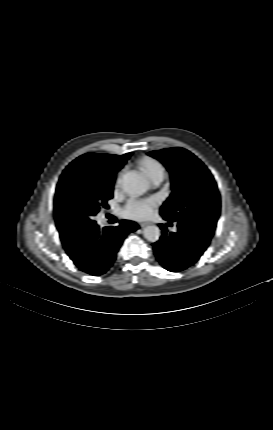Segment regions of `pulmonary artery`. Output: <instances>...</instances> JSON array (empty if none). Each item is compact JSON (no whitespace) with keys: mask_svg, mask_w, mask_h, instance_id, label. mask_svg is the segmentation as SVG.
Returning <instances> with one entry per match:
<instances>
[{"mask_svg":"<svg viewBox=\"0 0 273 430\" xmlns=\"http://www.w3.org/2000/svg\"><path fill=\"white\" fill-rule=\"evenodd\" d=\"M164 174H158L152 178V182L156 185L160 184L163 180Z\"/></svg>","mask_w":273,"mask_h":430,"instance_id":"obj_1","label":"pulmonary artery"}]
</instances>
